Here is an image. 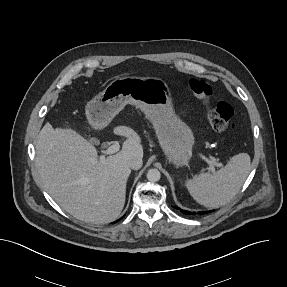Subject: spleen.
Wrapping results in <instances>:
<instances>
[{
	"label": "spleen",
	"mask_w": 287,
	"mask_h": 287,
	"mask_svg": "<svg viewBox=\"0 0 287 287\" xmlns=\"http://www.w3.org/2000/svg\"><path fill=\"white\" fill-rule=\"evenodd\" d=\"M251 168L247 153L233 156L225 167L213 173H201L186 181L190 195L201 205L218 208L227 204L239 192Z\"/></svg>",
	"instance_id": "obj_1"
}]
</instances>
